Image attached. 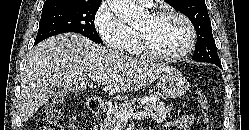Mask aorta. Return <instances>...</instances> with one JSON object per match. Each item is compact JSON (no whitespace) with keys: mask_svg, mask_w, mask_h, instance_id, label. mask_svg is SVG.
<instances>
[{"mask_svg":"<svg viewBox=\"0 0 249 130\" xmlns=\"http://www.w3.org/2000/svg\"><path fill=\"white\" fill-rule=\"evenodd\" d=\"M114 14L127 23L137 22L143 15V9L134 0H107Z\"/></svg>","mask_w":249,"mask_h":130,"instance_id":"1","label":"aorta"}]
</instances>
